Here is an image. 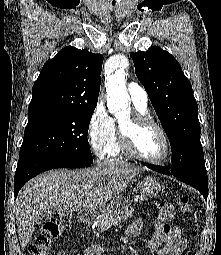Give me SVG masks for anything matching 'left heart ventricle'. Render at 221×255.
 <instances>
[{
  "instance_id": "1",
  "label": "left heart ventricle",
  "mask_w": 221,
  "mask_h": 255,
  "mask_svg": "<svg viewBox=\"0 0 221 255\" xmlns=\"http://www.w3.org/2000/svg\"><path fill=\"white\" fill-rule=\"evenodd\" d=\"M125 121L126 119L122 120V122ZM135 139L139 152L147 158L157 159L165 152L163 138L159 131L152 126L138 129Z\"/></svg>"
}]
</instances>
